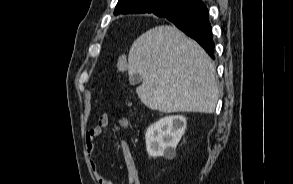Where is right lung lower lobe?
Returning a JSON list of instances; mask_svg holds the SVG:
<instances>
[{
  "label": "right lung lower lobe",
  "instance_id": "98d812e1",
  "mask_svg": "<svg viewBox=\"0 0 293 184\" xmlns=\"http://www.w3.org/2000/svg\"><path fill=\"white\" fill-rule=\"evenodd\" d=\"M208 10L203 4H190L165 15L186 35L196 40L214 59L212 28L208 19Z\"/></svg>",
  "mask_w": 293,
  "mask_h": 184
}]
</instances>
